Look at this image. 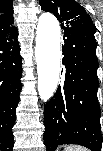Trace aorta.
<instances>
[{
    "mask_svg": "<svg viewBox=\"0 0 103 151\" xmlns=\"http://www.w3.org/2000/svg\"><path fill=\"white\" fill-rule=\"evenodd\" d=\"M35 59L37 63L38 93L44 102L55 93L60 73V25L50 13H43L37 25Z\"/></svg>",
    "mask_w": 103,
    "mask_h": 151,
    "instance_id": "1",
    "label": "aorta"
}]
</instances>
